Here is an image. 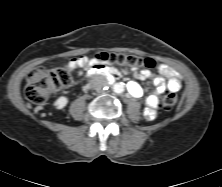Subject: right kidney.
I'll use <instances>...</instances> for the list:
<instances>
[{
  "instance_id": "right-kidney-1",
  "label": "right kidney",
  "mask_w": 222,
  "mask_h": 187,
  "mask_svg": "<svg viewBox=\"0 0 222 187\" xmlns=\"http://www.w3.org/2000/svg\"><path fill=\"white\" fill-rule=\"evenodd\" d=\"M68 103V98L65 96H61L59 97L55 102H54V106L57 109H63Z\"/></svg>"
}]
</instances>
